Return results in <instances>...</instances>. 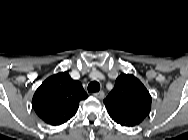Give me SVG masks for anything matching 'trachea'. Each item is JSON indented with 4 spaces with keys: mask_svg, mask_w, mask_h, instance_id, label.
<instances>
[{
    "mask_svg": "<svg viewBox=\"0 0 188 140\" xmlns=\"http://www.w3.org/2000/svg\"><path fill=\"white\" fill-rule=\"evenodd\" d=\"M100 90V84L96 81L91 82L88 85V92H98Z\"/></svg>",
    "mask_w": 188,
    "mask_h": 140,
    "instance_id": "1",
    "label": "trachea"
}]
</instances>
